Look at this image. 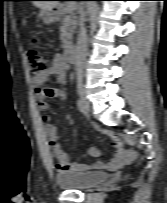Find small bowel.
Segmentation results:
<instances>
[{"label": "small bowel", "mask_w": 167, "mask_h": 203, "mask_svg": "<svg viewBox=\"0 0 167 203\" xmlns=\"http://www.w3.org/2000/svg\"><path fill=\"white\" fill-rule=\"evenodd\" d=\"M69 72V66L67 65L64 56L57 53L53 56L51 66L42 74H37L32 77V87L37 97L38 109L46 113L50 107L46 103L47 98H60L62 101L65 100V91L61 88L46 87V83L49 81L51 76H56L58 83L64 84ZM45 131L48 136V145L52 153V157L55 162V168L58 171L72 170V171H89L95 169H106L109 171H115L121 168L127 162L124 159V148L121 139L113 132L103 130L102 132L107 135L111 140V146L113 155L108 161L99 160L94 163H77L70 162L68 154L62 149L58 142L57 129L52 122L49 121L45 114ZM89 154L92 157H98L100 155L99 148L93 146L89 150Z\"/></svg>", "instance_id": "obj_1"}]
</instances>
